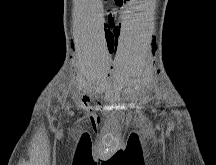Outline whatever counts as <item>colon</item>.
<instances>
[{"label": "colon", "mask_w": 216, "mask_h": 165, "mask_svg": "<svg viewBox=\"0 0 216 165\" xmlns=\"http://www.w3.org/2000/svg\"><path fill=\"white\" fill-rule=\"evenodd\" d=\"M117 2H122V0H116Z\"/></svg>", "instance_id": "1"}]
</instances>
